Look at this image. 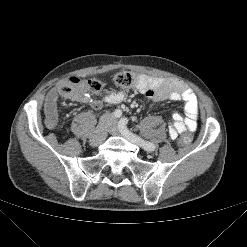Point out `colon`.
Returning <instances> with one entry per match:
<instances>
[{
    "instance_id": "colon-1",
    "label": "colon",
    "mask_w": 247,
    "mask_h": 247,
    "mask_svg": "<svg viewBox=\"0 0 247 247\" xmlns=\"http://www.w3.org/2000/svg\"><path fill=\"white\" fill-rule=\"evenodd\" d=\"M141 77L136 73L123 71L115 74L113 80L118 86L132 87L140 81ZM103 87V81L98 79L80 82L77 78H71L69 83H64L60 86V92L66 98L76 99L87 92L98 94L102 91ZM192 139V134L188 131L180 136L178 143L181 146H186L192 142Z\"/></svg>"
}]
</instances>
